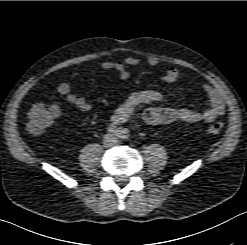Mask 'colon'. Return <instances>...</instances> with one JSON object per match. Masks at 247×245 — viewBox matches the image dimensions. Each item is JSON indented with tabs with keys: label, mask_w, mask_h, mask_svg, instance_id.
Returning <instances> with one entry per match:
<instances>
[{
	"label": "colon",
	"mask_w": 247,
	"mask_h": 245,
	"mask_svg": "<svg viewBox=\"0 0 247 245\" xmlns=\"http://www.w3.org/2000/svg\"><path fill=\"white\" fill-rule=\"evenodd\" d=\"M58 110L43 104H34L28 112L27 128L32 134H40L58 117ZM223 128V122L215 121L207 128L211 134H216Z\"/></svg>",
	"instance_id": "5ec220e1"
}]
</instances>
